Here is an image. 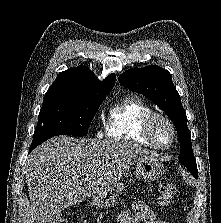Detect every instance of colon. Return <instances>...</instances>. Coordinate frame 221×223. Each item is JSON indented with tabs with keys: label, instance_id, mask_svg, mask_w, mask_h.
I'll return each mask as SVG.
<instances>
[{
	"label": "colon",
	"instance_id": "colon-1",
	"mask_svg": "<svg viewBox=\"0 0 221 223\" xmlns=\"http://www.w3.org/2000/svg\"><path fill=\"white\" fill-rule=\"evenodd\" d=\"M178 195L177 187L169 180H162L158 190V200L163 207L170 206ZM56 223H70L66 217H60Z\"/></svg>",
	"mask_w": 221,
	"mask_h": 223
}]
</instances>
